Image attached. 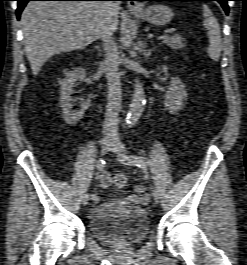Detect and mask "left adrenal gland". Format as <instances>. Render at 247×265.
Returning a JSON list of instances; mask_svg holds the SVG:
<instances>
[{
  "label": "left adrenal gland",
  "instance_id": "obj_1",
  "mask_svg": "<svg viewBox=\"0 0 247 265\" xmlns=\"http://www.w3.org/2000/svg\"><path fill=\"white\" fill-rule=\"evenodd\" d=\"M146 48H147V45H146V43H145V44H144V49H143V55H144V57H145L146 59H149V57H150L152 51H154V48H152V49H146Z\"/></svg>",
  "mask_w": 247,
  "mask_h": 265
}]
</instances>
